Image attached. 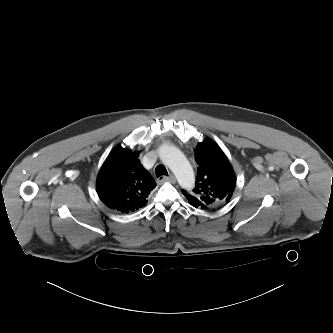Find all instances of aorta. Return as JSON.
Listing matches in <instances>:
<instances>
[{
  "label": "aorta",
  "mask_w": 333,
  "mask_h": 333,
  "mask_svg": "<svg viewBox=\"0 0 333 333\" xmlns=\"http://www.w3.org/2000/svg\"><path fill=\"white\" fill-rule=\"evenodd\" d=\"M159 157L175 174L182 188L191 190L194 187L193 169L185 155L177 147L168 144L161 145L159 147Z\"/></svg>",
  "instance_id": "aorta-1"
}]
</instances>
